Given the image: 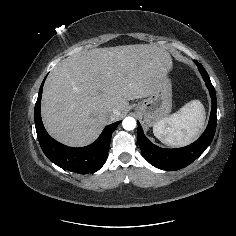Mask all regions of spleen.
I'll use <instances>...</instances> for the list:
<instances>
[{"instance_id": "obj_1", "label": "spleen", "mask_w": 236, "mask_h": 236, "mask_svg": "<svg viewBox=\"0 0 236 236\" xmlns=\"http://www.w3.org/2000/svg\"><path fill=\"white\" fill-rule=\"evenodd\" d=\"M205 121V110L199 100L185 104L176 113L153 126V133L162 143L181 147L191 143L200 133Z\"/></svg>"}]
</instances>
